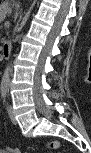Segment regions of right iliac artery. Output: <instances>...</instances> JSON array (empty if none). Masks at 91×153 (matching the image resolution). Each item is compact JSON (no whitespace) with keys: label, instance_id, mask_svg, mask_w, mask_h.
Returning <instances> with one entry per match:
<instances>
[{"label":"right iliac artery","instance_id":"1","mask_svg":"<svg viewBox=\"0 0 91 153\" xmlns=\"http://www.w3.org/2000/svg\"><path fill=\"white\" fill-rule=\"evenodd\" d=\"M6 94H7V85H4L1 87V96L3 100H5Z\"/></svg>","mask_w":91,"mask_h":153}]
</instances>
